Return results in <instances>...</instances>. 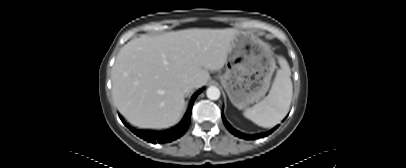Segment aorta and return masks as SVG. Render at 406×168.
Segmentation results:
<instances>
[{"label":"aorta","instance_id":"762f6f07","mask_svg":"<svg viewBox=\"0 0 406 168\" xmlns=\"http://www.w3.org/2000/svg\"><path fill=\"white\" fill-rule=\"evenodd\" d=\"M206 95L210 100H217L220 97V90L215 86H210L206 91Z\"/></svg>","mask_w":406,"mask_h":168}]
</instances>
